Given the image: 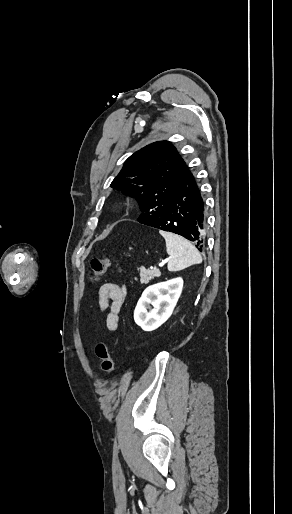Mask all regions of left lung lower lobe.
<instances>
[{"mask_svg":"<svg viewBox=\"0 0 292 514\" xmlns=\"http://www.w3.org/2000/svg\"><path fill=\"white\" fill-rule=\"evenodd\" d=\"M145 225L181 235L202 251L206 241V214L201 192L191 172L164 204L161 213Z\"/></svg>","mask_w":292,"mask_h":514,"instance_id":"1","label":"left lung lower lobe"}]
</instances>
